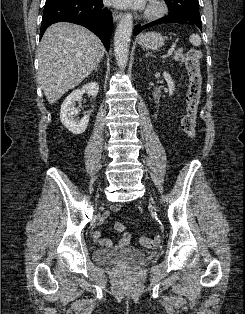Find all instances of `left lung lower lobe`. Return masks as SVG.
Wrapping results in <instances>:
<instances>
[{"label": "left lung lower lobe", "instance_id": "1", "mask_svg": "<svg viewBox=\"0 0 245 314\" xmlns=\"http://www.w3.org/2000/svg\"><path fill=\"white\" fill-rule=\"evenodd\" d=\"M183 21L193 22L202 31L201 18L191 16V15H170L169 14L167 17L155 20V21L148 23L146 25H143V26L136 25L134 28V35L139 34L141 31H143L145 28H147L148 26H151V25L161 24V23H174V22L179 23V22H183Z\"/></svg>", "mask_w": 245, "mask_h": 314}]
</instances>
